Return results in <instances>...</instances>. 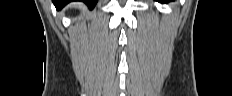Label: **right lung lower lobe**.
Wrapping results in <instances>:
<instances>
[{
    "label": "right lung lower lobe",
    "instance_id": "right-lung-lower-lobe-1",
    "mask_svg": "<svg viewBox=\"0 0 232 96\" xmlns=\"http://www.w3.org/2000/svg\"><path fill=\"white\" fill-rule=\"evenodd\" d=\"M72 1H82L88 5L90 9H92L96 3L97 0H53V3L57 10L62 9L66 4L72 2Z\"/></svg>",
    "mask_w": 232,
    "mask_h": 96
}]
</instances>
